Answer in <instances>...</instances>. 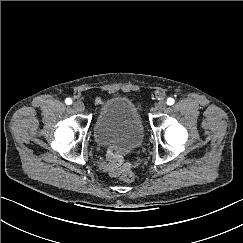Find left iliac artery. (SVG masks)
<instances>
[{
	"mask_svg": "<svg viewBox=\"0 0 243 243\" xmlns=\"http://www.w3.org/2000/svg\"><path fill=\"white\" fill-rule=\"evenodd\" d=\"M174 102H175V100H174L173 98H168V99H167V104H168V105H173Z\"/></svg>",
	"mask_w": 243,
	"mask_h": 243,
	"instance_id": "obj_1",
	"label": "left iliac artery"
}]
</instances>
